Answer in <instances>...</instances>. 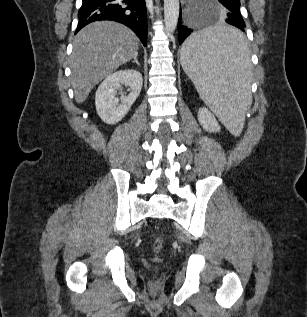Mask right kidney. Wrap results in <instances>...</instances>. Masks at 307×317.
<instances>
[{
  "label": "right kidney",
  "instance_id": "ca27d5eb",
  "mask_svg": "<svg viewBox=\"0 0 307 317\" xmlns=\"http://www.w3.org/2000/svg\"><path fill=\"white\" fill-rule=\"evenodd\" d=\"M142 83L141 73L133 69L120 70L107 76L95 95L96 111L101 120L107 124L121 121L139 96ZM122 84L129 86L131 92L128 95L121 93L117 98V90Z\"/></svg>",
  "mask_w": 307,
  "mask_h": 317
}]
</instances>
